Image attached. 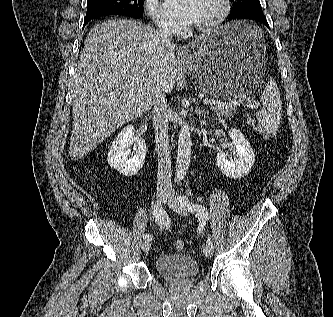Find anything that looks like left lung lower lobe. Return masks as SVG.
<instances>
[{
	"label": "left lung lower lobe",
	"mask_w": 333,
	"mask_h": 317,
	"mask_svg": "<svg viewBox=\"0 0 333 317\" xmlns=\"http://www.w3.org/2000/svg\"><path fill=\"white\" fill-rule=\"evenodd\" d=\"M239 19H252L256 21H261L263 24L269 27L266 17L264 16L262 10L241 12L236 15H230V17H228V20H239Z\"/></svg>",
	"instance_id": "0a47b994"
}]
</instances>
